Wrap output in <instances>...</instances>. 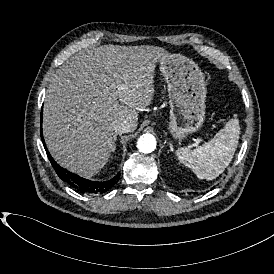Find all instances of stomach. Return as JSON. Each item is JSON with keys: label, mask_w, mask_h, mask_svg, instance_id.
<instances>
[{"label": "stomach", "mask_w": 274, "mask_h": 274, "mask_svg": "<svg viewBox=\"0 0 274 274\" xmlns=\"http://www.w3.org/2000/svg\"><path fill=\"white\" fill-rule=\"evenodd\" d=\"M159 63L168 84L169 131L181 140L198 131L204 123L207 93L205 76L193 60L181 54H170Z\"/></svg>", "instance_id": "stomach-1"}]
</instances>
